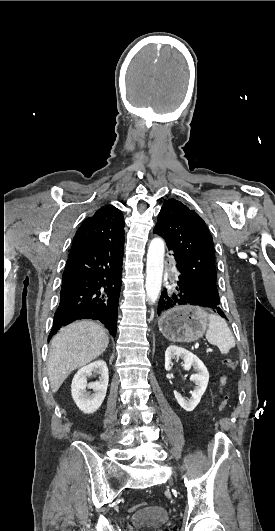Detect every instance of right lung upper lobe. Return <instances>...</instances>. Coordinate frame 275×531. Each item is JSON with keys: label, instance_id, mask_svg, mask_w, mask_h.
<instances>
[{"label": "right lung upper lobe", "instance_id": "obj_1", "mask_svg": "<svg viewBox=\"0 0 275 531\" xmlns=\"http://www.w3.org/2000/svg\"><path fill=\"white\" fill-rule=\"evenodd\" d=\"M104 241H124L123 215L112 205L100 208L81 224L74 236L70 252Z\"/></svg>", "mask_w": 275, "mask_h": 531}]
</instances>
